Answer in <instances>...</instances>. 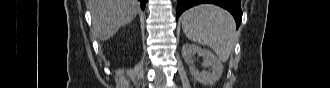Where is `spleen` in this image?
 Listing matches in <instances>:
<instances>
[{
  "label": "spleen",
  "instance_id": "1",
  "mask_svg": "<svg viewBox=\"0 0 330 88\" xmlns=\"http://www.w3.org/2000/svg\"><path fill=\"white\" fill-rule=\"evenodd\" d=\"M182 29L193 42L209 46L219 60L226 62L236 41V25L232 15L212 4H201L182 14Z\"/></svg>",
  "mask_w": 330,
  "mask_h": 88
}]
</instances>
